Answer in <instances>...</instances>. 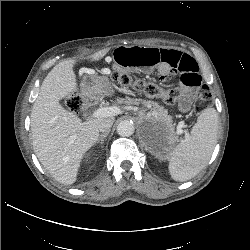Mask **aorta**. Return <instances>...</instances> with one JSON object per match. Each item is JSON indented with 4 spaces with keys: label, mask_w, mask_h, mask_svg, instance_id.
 I'll return each instance as SVG.
<instances>
[{
    "label": "aorta",
    "mask_w": 250,
    "mask_h": 250,
    "mask_svg": "<svg viewBox=\"0 0 250 250\" xmlns=\"http://www.w3.org/2000/svg\"><path fill=\"white\" fill-rule=\"evenodd\" d=\"M117 133L120 136L128 137L131 136L134 133V125L129 120L121 121L117 125Z\"/></svg>",
    "instance_id": "aorta-1"
}]
</instances>
